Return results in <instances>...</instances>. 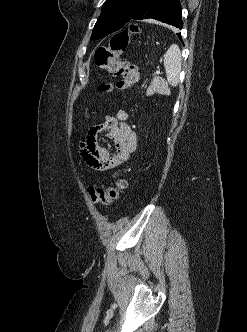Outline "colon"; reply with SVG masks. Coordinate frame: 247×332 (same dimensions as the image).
Here are the masks:
<instances>
[{
    "label": "colon",
    "instance_id": "colon-1",
    "mask_svg": "<svg viewBox=\"0 0 247 332\" xmlns=\"http://www.w3.org/2000/svg\"><path fill=\"white\" fill-rule=\"evenodd\" d=\"M139 32L140 29L137 25H131L129 28L115 34L107 46H101L95 51L94 60L96 65L118 78L114 85L101 84L98 87L99 91L127 90L137 82L139 76L137 67L128 61L121 60L120 55L126 50L130 38ZM126 187L127 181L124 173L116 171L112 185L107 187L90 186L88 187V194L94 203L110 204L118 199Z\"/></svg>",
    "mask_w": 247,
    "mask_h": 332
}]
</instances>
